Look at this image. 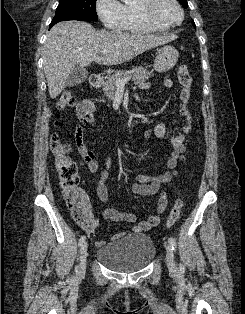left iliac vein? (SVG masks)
Wrapping results in <instances>:
<instances>
[{"label":"left iliac vein","instance_id":"obj_1","mask_svg":"<svg viewBox=\"0 0 245 314\" xmlns=\"http://www.w3.org/2000/svg\"><path fill=\"white\" fill-rule=\"evenodd\" d=\"M166 262L168 269L171 273H176L177 272V266L174 260L173 256V250L170 244H166Z\"/></svg>","mask_w":245,"mask_h":314}]
</instances>
